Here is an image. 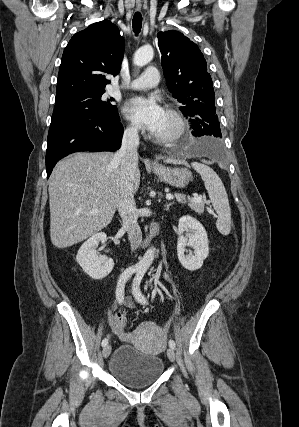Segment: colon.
<instances>
[{
    "mask_svg": "<svg viewBox=\"0 0 299 427\" xmlns=\"http://www.w3.org/2000/svg\"><path fill=\"white\" fill-rule=\"evenodd\" d=\"M125 323H126V318L123 314L116 318V325L120 332L124 331Z\"/></svg>",
    "mask_w": 299,
    "mask_h": 427,
    "instance_id": "5ec220e1",
    "label": "colon"
}]
</instances>
